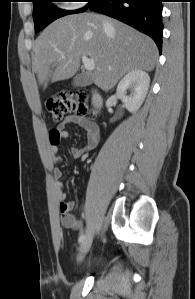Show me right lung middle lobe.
<instances>
[{
  "mask_svg": "<svg viewBox=\"0 0 195 299\" xmlns=\"http://www.w3.org/2000/svg\"><path fill=\"white\" fill-rule=\"evenodd\" d=\"M52 1L53 0H32L34 6L33 20L35 24V33L39 32L51 22L62 16L85 11L90 2H92L93 0H88L89 4L86 7L75 11L58 9L51 3Z\"/></svg>",
  "mask_w": 195,
  "mask_h": 299,
  "instance_id": "1",
  "label": "right lung middle lobe"
}]
</instances>
